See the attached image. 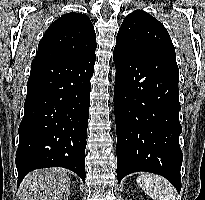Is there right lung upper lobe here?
<instances>
[{"label": "right lung upper lobe", "instance_id": "obj_1", "mask_svg": "<svg viewBox=\"0 0 205 200\" xmlns=\"http://www.w3.org/2000/svg\"><path fill=\"white\" fill-rule=\"evenodd\" d=\"M96 46V34L89 17L67 13L49 26L39 42L35 59H78L95 52Z\"/></svg>", "mask_w": 205, "mask_h": 200}]
</instances>
